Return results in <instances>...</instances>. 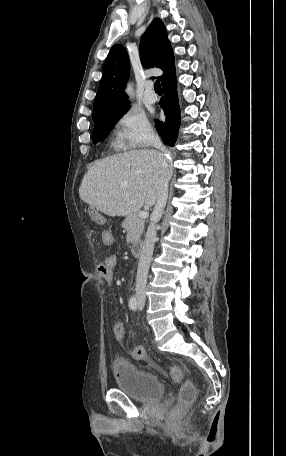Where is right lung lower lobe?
<instances>
[{
	"label": "right lung lower lobe",
	"mask_w": 286,
	"mask_h": 456,
	"mask_svg": "<svg viewBox=\"0 0 286 456\" xmlns=\"http://www.w3.org/2000/svg\"><path fill=\"white\" fill-rule=\"evenodd\" d=\"M164 96L160 100V106L166 115L165 122L155 120L156 128L163 142L174 146L180 126V107L177 95L176 77L162 85Z\"/></svg>",
	"instance_id": "98d812e1"
}]
</instances>
